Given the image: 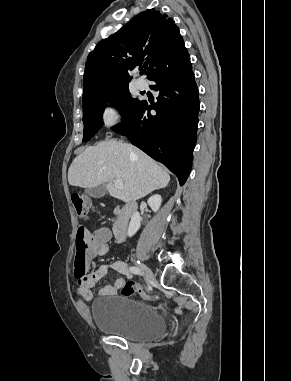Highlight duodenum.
I'll return each mask as SVG.
<instances>
[{"label":"duodenum","instance_id":"obj_1","mask_svg":"<svg viewBox=\"0 0 291 381\" xmlns=\"http://www.w3.org/2000/svg\"><path fill=\"white\" fill-rule=\"evenodd\" d=\"M136 209V203L129 201L120 207L113 224V234L118 241H123L126 237L129 219Z\"/></svg>","mask_w":291,"mask_h":381}]
</instances>
